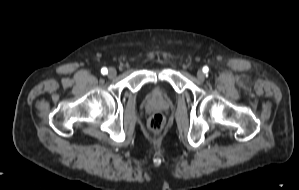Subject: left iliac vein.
Wrapping results in <instances>:
<instances>
[{
    "mask_svg": "<svg viewBox=\"0 0 299 190\" xmlns=\"http://www.w3.org/2000/svg\"><path fill=\"white\" fill-rule=\"evenodd\" d=\"M197 78L200 80V81H203L205 79V73L202 71V70H199L197 72Z\"/></svg>",
    "mask_w": 299,
    "mask_h": 190,
    "instance_id": "1",
    "label": "left iliac vein"
}]
</instances>
